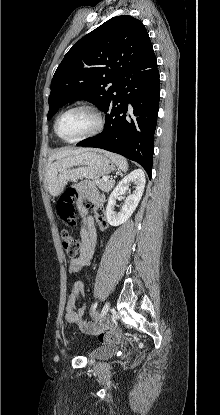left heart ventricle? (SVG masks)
<instances>
[{
	"label": "left heart ventricle",
	"mask_w": 220,
	"mask_h": 415,
	"mask_svg": "<svg viewBox=\"0 0 220 415\" xmlns=\"http://www.w3.org/2000/svg\"><path fill=\"white\" fill-rule=\"evenodd\" d=\"M95 125L96 118L92 112L75 110L60 119L57 130L62 138L72 140L87 134Z\"/></svg>",
	"instance_id": "obj_1"
}]
</instances>
